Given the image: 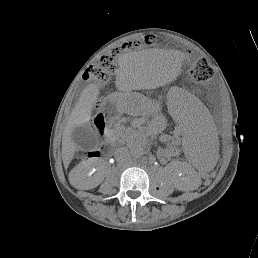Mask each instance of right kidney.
I'll return each mask as SVG.
<instances>
[{"label": "right kidney", "instance_id": "obj_1", "mask_svg": "<svg viewBox=\"0 0 258 258\" xmlns=\"http://www.w3.org/2000/svg\"><path fill=\"white\" fill-rule=\"evenodd\" d=\"M96 162H98V160H96ZM93 167H97V164L94 163V164H93ZM80 171H81V170H79V169H77V170L74 171V176H75V178L78 179V180H83V179H85V175L89 176V175H91L92 172H93L92 169L85 170V171H84L85 174H82ZM98 184H99V182H95L94 184H92V185L90 186V188H94V187H96Z\"/></svg>", "mask_w": 258, "mask_h": 258}]
</instances>
